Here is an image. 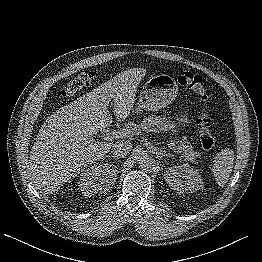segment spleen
Wrapping results in <instances>:
<instances>
[{
  "label": "spleen",
  "instance_id": "1",
  "mask_svg": "<svg viewBox=\"0 0 262 262\" xmlns=\"http://www.w3.org/2000/svg\"><path fill=\"white\" fill-rule=\"evenodd\" d=\"M233 163L234 152L232 150L223 149L216 154L211 171L219 186H224L228 182Z\"/></svg>",
  "mask_w": 262,
  "mask_h": 262
}]
</instances>
